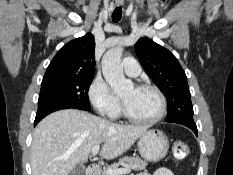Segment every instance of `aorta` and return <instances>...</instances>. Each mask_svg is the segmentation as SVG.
<instances>
[{
	"label": "aorta",
	"mask_w": 233,
	"mask_h": 175,
	"mask_svg": "<svg viewBox=\"0 0 233 175\" xmlns=\"http://www.w3.org/2000/svg\"><path fill=\"white\" fill-rule=\"evenodd\" d=\"M123 48L121 46L109 49L102 59V72L106 82L115 93L131 89L133 83L126 79L121 65Z\"/></svg>",
	"instance_id": "aorta-1"
}]
</instances>
